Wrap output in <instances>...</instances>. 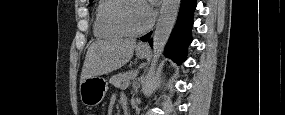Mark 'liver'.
Wrapping results in <instances>:
<instances>
[{
    "instance_id": "6515ba94",
    "label": "liver",
    "mask_w": 285,
    "mask_h": 115,
    "mask_svg": "<svg viewBox=\"0 0 285 115\" xmlns=\"http://www.w3.org/2000/svg\"><path fill=\"white\" fill-rule=\"evenodd\" d=\"M136 40L115 38L93 42L87 50L80 83L115 71L127 64L134 52Z\"/></svg>"
}]
</instances>
